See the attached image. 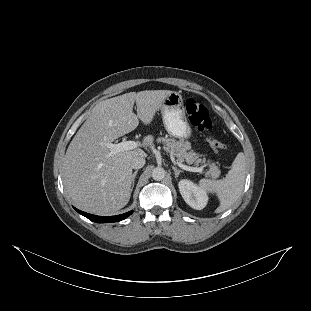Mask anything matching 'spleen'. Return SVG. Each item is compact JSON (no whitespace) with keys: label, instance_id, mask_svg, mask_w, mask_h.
Listing matches in <instances>:
<instances>
[{"label":"spleen","instance_id":"1","mask_svg":"<svg viewBox=\"0 0 311 311\" xmlns=\"http://www.w3.org/2000/svg\"><path fill=\"white\" fill-rule=\"evenodd\" d=\"M246 175V160L244 153L237 154L232 163V168L224 179L214 181L201 179L199 185L209 193H216L220 199V206L216 213H220L233 205L241 196L244 189Z\"/></svg>","mask_w":311,"mask_h":311}]
</instances>
